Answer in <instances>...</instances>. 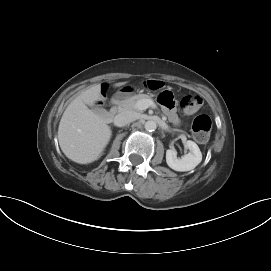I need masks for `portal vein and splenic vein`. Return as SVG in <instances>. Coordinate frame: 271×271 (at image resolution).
Returning a JSON list of instances; mask_svg holds the SVG:
<instances>
[{
    "instance_id": "1",
    "label": "portal vein and splenic vein",
    "mask_w": 271,
    "mask_h": 271,
    "mask_svg": "<svg viewBox=\"0 0 271 271\" xmlns=\"http://www.w3.org/2000/svg\"><path fill=\"white\" fill-rule=\"evenodd\" d=\"M154 102L151 100H140L137 102L136 107L139 110H146L147 108L154 106Z\"/></svg>"
}]
</instances>
